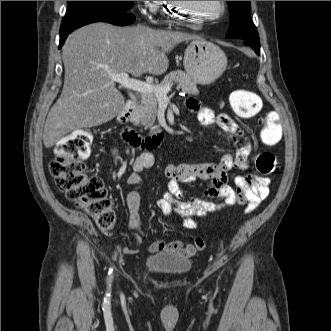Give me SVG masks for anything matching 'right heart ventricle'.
<instances>
[{"instance_id": "obj_1", "label": "right heart ventricle", "mask_w": 331, "mask_h": 331, "mask_svg": "<svg viewBox=\"0 0 331 331\" xmlns=\"http://www.w3.org/2000/svg\"><path fill=\"white\" fill-rule=\"evenodd\" d=\"M171 8V1H161V9L168 11Z\"/></svg>"}]
</instances>
